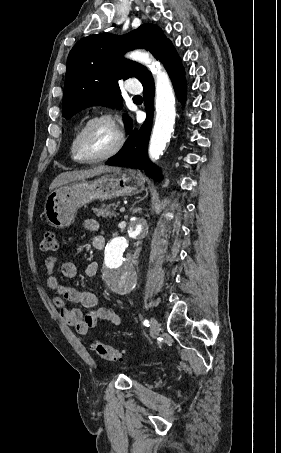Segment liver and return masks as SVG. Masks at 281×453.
<instances>
[{
	"instance_id": "liver-1",
	"label": "liver",
	"mask_w": 281,
	"mask_h": 453,
	"mask_svg": "<svg viewBox=\"0 0 281 453\" xmlns=\"http://www.w3.org/2000/svg\"><path fill=\"white\" fill-rule=\"evenodd\" d=\"M111 170H119V168H117V166L99 164V166L88 168V170H68V172H61V174H58V176H55L54 180H52L49 190H53V188H57V186H62V184L73 182V180H85V178L97 176V174H102V172H111Z\"/></svg>"
}]
</instances>
